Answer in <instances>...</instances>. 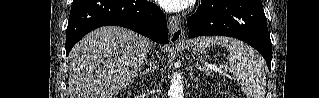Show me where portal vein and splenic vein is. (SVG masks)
Returning <instances> with one entry per match:
<instances>
[{
	"label": "portal vein and splenic vein",
	"mask_w": 319,
	"mask_h": 98,
	"mask_svg": "<svg viewBox=\"0 0 319 98\" xmlns=\"http://www.w3.org/2000/svg\"><path fill=\"white\" fill-rule=\"evenodd\" d=\"M205 67H206V69H205ZM205 67L204 68L198 67V69L200 71L211 69V70H215V71H219V72H222L223 70L227 69L225 66L217 67V66H213V65H210V64H205Z\"/></svg>",
	"instance_id": "obj_1"
}]
</instances>
